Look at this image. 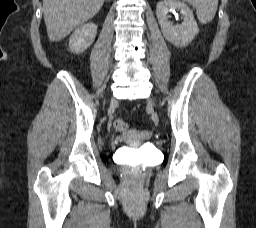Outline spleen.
<instances>
[{
	"mask_svg": "<svg viewBox=\"0 0 256 228\" xmlns=\"http://www.w3.org/2000/svg\"><path fill=\"white\" fill-rule=\"evenodd\" d=\"M196 8V14L202 24L211 22L216 14L218 0H184Z\"/></svg>",
	"mask_w": 256,
	"mask_h": 228,
	"instance_id": "1",
	"label": "spleen"
}]
</instances>
